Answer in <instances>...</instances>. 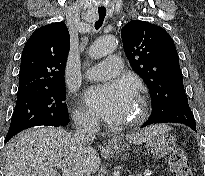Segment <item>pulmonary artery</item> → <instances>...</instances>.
<instances>
[{
  "label": "pulmonary artery",
  "instance_id": "1",
  "mask_svg": "<svg viewBox=\"0 0 205 176\" xmlns=\"http://www.w3.org/2000/svg\"><path fill=\"white\" fill-rule=\"evenodd\" d=\"M122 72V62L119 56H111L106 62L94 65L84 72L89 80H102L119 75Z\"/></svg>",
  "mask_w": 205,
  "mask_h": 176
}]
</instances>
